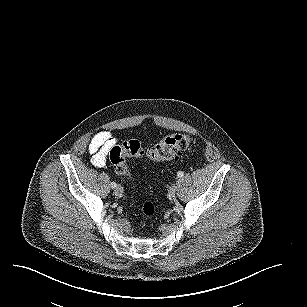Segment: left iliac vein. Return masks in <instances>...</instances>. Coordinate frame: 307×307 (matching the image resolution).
I'll return each instance as SVG.
<instances>
[{
	"mask_svg": "<svg viewBox=\"0 0 307 307\" xmlns=\"http://www.w3.org/2000/svg\"><path fill=\"white\" fill-rule=\"evenodd\" d=\"M177 189H178L177 184H173V185H171L170 188H169V193H170L171 195H175L176 192H177Z\"/></svg>",
	"mask_w": 307,
	"mask_h": 307,
	"instance_id": "obj_1",
	"label": "left iliac vein"
}]
</instances>
